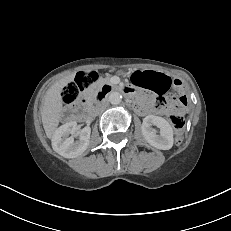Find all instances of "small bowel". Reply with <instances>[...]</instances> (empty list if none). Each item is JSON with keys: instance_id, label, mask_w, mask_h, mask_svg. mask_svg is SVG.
<instances>
[{"instance_id": "c3829d8e", "label": "small bowel", "mask_w": 231, "mask_h": 231, "mask_svg": "<svg viewBox=\"0 0 231 231\" xmlns=\"http://www.w3.org/2000/svg\"><path fill=\"white\" fill-rule=\"evenodd\" d=\"M139 73L144 79L141 87L150 90L154 94H164L169 91L171 88H179L180 85L177 83V80L173 79L167 74L156 72L152 70L139 71ZM132 82L136 85L134 77H132ZM137 86V85H136ZM131 93H135L136 90L133 88H128ZM148 104H152V99H148ZM169 110L172 112H182L183 110L179 107L171 105ZM167 111L165 108L155 109L156 113H164ZM139 113H145V106L142 105L138 108Z\"/></svg>"}]
</instances>
